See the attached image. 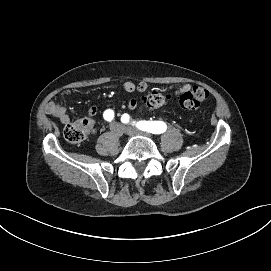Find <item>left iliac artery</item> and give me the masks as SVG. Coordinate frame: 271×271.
Masks as SVG:
<instances>
[{
	"label": "left iliac artery",
	"mask_w": 271,
	"mask_h": 271,
	"mask_svg": "<svg viewBox=\"0 0 271 271\" xmlns=\"http://www.w3.org/2000/svg\"><path fill=\"white\" fill-rule=\"evenodd\" d=\"M123 123L129 121V115L123 114L121 117ZM136 127L142 131H147L153 134H161L166 131V124L162 121H139Z\"/></svg>",
	"instance_id": "44dca946"
}]
</instances>
